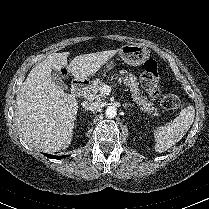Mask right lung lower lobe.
<instances>
[{"mask_svg": "<svg viewBox=\"0 0 209 209\" xmlns=\"http://www.w3.org/2000/svg\"><path fill=\"white\" fill-rule=\"evenodd\" d=\"M45 156H47L48 158H52V159H61L64 156H55V155H50V154H45Z\"/></svg>", "mask_w": 209, "mask_h": 209, "instance_id": "98d812e1", "label": "right lung lower lobe"}]
</instances>
